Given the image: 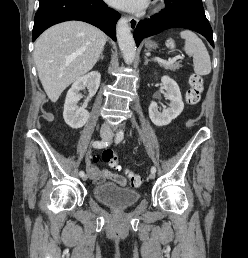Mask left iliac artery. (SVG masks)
I'll use <instances>...</instances> for the list:
<instances>
[{"instance_id":"44dca946","label":"left iliac artery","mask_w":248,"mask_h":258,"mask_svg":"<svg viewBox=\"0 0 248 258\" xmlns=\"http://www.w3.org/2000/svg\"><path fill=\"white\" fill-rule=\"evenodd\" d=\"M123 137H124L123 134L118 135L117 138H116V141H115L116 144H118L119 142H121L122 139H123ZM151 172H152V173H156V168H155V166H152V167H151Z\"/></svg>"}]
</instances>
